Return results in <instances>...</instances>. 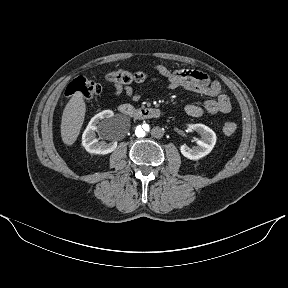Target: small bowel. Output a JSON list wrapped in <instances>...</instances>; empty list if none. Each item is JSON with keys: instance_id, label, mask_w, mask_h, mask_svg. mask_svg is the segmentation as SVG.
<instances>
[{"instance_id": "obj_1", "label": "small bowel", "mask_w": 288, "mask_h": 288, "mask_svg": "<svg viewBox=\"0 0 288 288\" xmlns=\"http://www.w3.org/2000/svg\"><path fill=\"white\" fill-rule=\"evenodd\" d=\"M154 70L166 79V86L169 90L184 88L207 96V99L201 103L186 105L184 111L187 115L200 117L205 113L213 115L231 111V101L223 91L221 84L217 80H212L208 74L190 69L172 70L166 63L156 65ZM152 81L156 80L152 79ZM122 94L137 101L141 96V88H133L131 86L123 87L116 84L113 95L117 97Z\"/></svg>"}]
</instances>
